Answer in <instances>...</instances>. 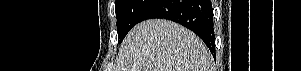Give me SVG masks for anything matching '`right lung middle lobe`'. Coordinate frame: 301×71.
<instances>
[{
  "instance_id": "right-lung-middle-lobe-1",
  "label": "right lung middle lobe",
  "mask_w": 301,
  "mask_h": 71,
  "mask_svg": "<svg viewBox=\"0 0 301 71\" xmlns=\"http://www.w3.org/2000/svg\"><path fill=\"white\" fill-rule=\"evenodd\" d=\"M155 0H116L118 43L140 22L141 16Z\"/></svg>"
}]
</instances>
